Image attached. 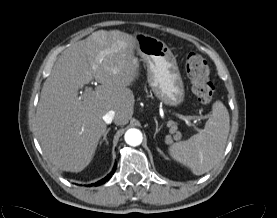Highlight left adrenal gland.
Returning a JSON list of instances; mask_svg holds the SVG:
<instances>
[{"mask_svg": "<svg viewBox=\"0 0 277 218\" xmlns=\"http://www.w3.org/2000/svg\"><path fill=\"white\" fill-rule=\"evenodd\" d=\"M154 120H155V123H156V130H155V133H154V138H155L157 133L161 130V127H158V122H157L156 118H154ZM157 150L161 153L159 148Z\"/></svg>", "mask_w": 277, "mask_h": 218, "instance_id": "1", "label": "left adrenal gland"}]
</instances>
